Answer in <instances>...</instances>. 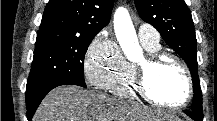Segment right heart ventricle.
<instances>
[{
	"mask_svg": "<svg viewBox=\"0 0 217 121\" xmlns=\"http://www.w3.org/2000/svg\"><path fill=\"white\" fill-rule=\"evenodd\" d=\"M142 44L149 54L160 50L159 44H149L146 42H142ZM109 89L115 96L122 98H132L138 95V90L134 81L133 63L126 62L124 60V64L120 74L111 83Z\"/></svg>",
	"mask_w": 217,
	"mask_h": 121,
	"instance_id": "1",
	"label": "right heart ventricle"
}]
</instances>
